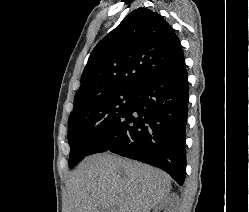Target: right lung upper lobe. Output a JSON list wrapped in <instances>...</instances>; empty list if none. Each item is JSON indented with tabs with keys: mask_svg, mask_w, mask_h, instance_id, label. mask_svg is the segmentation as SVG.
I'll list each match as a JSON object with an SVG mask.
<instances>
[{
	"mask_svg": "<svg viewBox=\"0 0 249 212\" xmlns=\"http://www.w3.org/2000/svg\"><path fill=\"white\" fill-rule=\"evenodd\" d=\"M183 58L172 27L158 13L138 8L93 49L74 108L104 94L135 92Z\"/></svg>",
	"mask_w": 249,
	"mask_h": 212,
	"instance_id": "right-lung-upper-lobe-1",
	"label": "right lung upper lobe"
}]
</instances>
